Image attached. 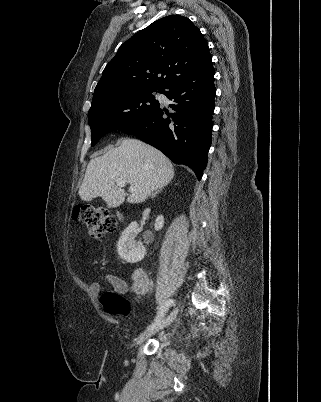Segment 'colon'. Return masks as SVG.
Masks as SVG:
<instances>
[{
	"mask_svg": "<svg viewBox=\"0 0 321 402\" xmlns=\"http://www.w3.org/2000/svg\"><path fill=\"white\" fill-rule=\"evenodd\" d=\"M73 218L83 223L92 237L98 238L117 228L115 217L105 208L80 206L74 209ZM104 311L112 316L126 317L130 313V303L117 292H106L101 298Z\"/></svg>",
	"mask_w": 321,
	"mask_h": 402,
	"instance_id": "5ec220e1",
	"label": "colon"
}]
</instances>
